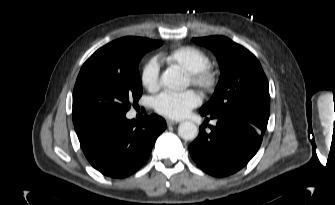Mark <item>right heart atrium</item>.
<instances>
[{"label":"right heart atrium","instance_id":"d8ad5b80","mask_svg":"<svg viewBox=\"0 0 335 205\" xmlns=\"http://www.w3.org/2000/svg\"><path fill=\"white\" fill-rule=\"evenodd\" d=\"M161 65L156 57L151 58L144 65L141 72V82L143 86L151 91H156L160 86Z\"/></svg>","mask_w":335,"mask_h":205}]
</instances>
